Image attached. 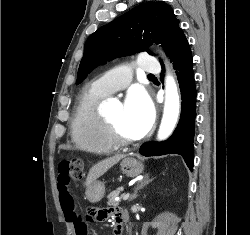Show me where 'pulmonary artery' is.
Wrapping results in <instances>:
<instances>
[{
    "label": "pulmonary artery",
    "instance_id": "pulmonary-artery-1",
    "mask_svg": "<svg viewBox=\"0 0 250 235\" xmlns=\"http://www.w3.org/2000/svg\"><path fill=\"white\" fill-rule=\"evenodd\" d=\"M137 65L147 73H158L160 68L157 64V59L149 53H143L137 60ZM127 65L120 69L112 70L105 75L99 77L92 84L93 88L104 94L111 95L119 90L124 89L131 80Z\"/></svg>",
    "mask_w": 250,
    "mask_h": 235
}]
</instances>
